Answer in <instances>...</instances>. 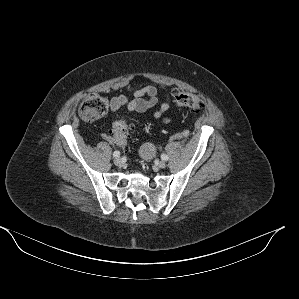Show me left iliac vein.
Here are the masks:
<instances>
[{
	"instance_id": "4c4485c4",
	"label": "left iliac vein",
	"mask_w": 299,
	"mask_h": 299,
	"mask_svg": "<svg viewBox=\"0 0 299 299\" xmlns=\"http://www.w3.org/2000/svg\"><path fill=\"white\" fill-rule=\"evenodd\" d=\"M157 166H158L159 168L163 169V168L166 167V163H165L164 161H159V162L157 163Z\"/></svg>"
}]
</instances>
